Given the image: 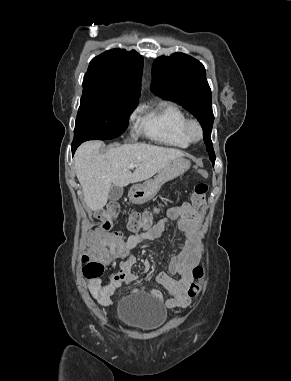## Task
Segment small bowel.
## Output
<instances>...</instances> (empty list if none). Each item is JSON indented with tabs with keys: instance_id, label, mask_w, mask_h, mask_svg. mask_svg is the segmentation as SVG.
<instances>
[{
	"instance_id": "obj_1",
	"label": "small bowel",
	"mask_w": 291,
	"mask_h": 381,
	"mask_svg": "<svg viewBox=\"0 0 291 381\" xmlns=\"http://www.w3.org/2000/svg\"><path fill=\"white\" fill-rule=\"evenodd\" d=\"M199 217V210L188 203L172 206L166 209V218L159 220L148 231L131 235L124 238L120 231H113L100 235L97 230L87 234V249H93L98 240L104 245H109L110 256L121 258L120 271L110 276L109 282L103 284L100 277L89 278L88 286L92 296L103 306L111 304L112 296L116 289L123 283L135 284L137 279L132 273L136 264V258L131 251L141 244L159 239L167 228V222L177 221L179 229L185 234V240L179 244V254L174 256L169 264L168 272L176 274L179 279L172 278L168 273L161 272L157 276V282L162 285L171 295L164 300V296L158 289H153L152 294L160 301H165L168 308H184L191 302L187 294L188 288L193 281V268L200 261L197 235L195 233V222Z\"/></svg>"
}]
</instances>
